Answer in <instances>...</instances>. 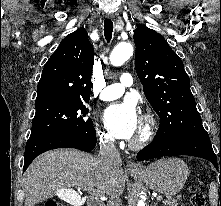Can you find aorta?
Listing matches in <instances>:
<instances>
[{
	"label": "aorta",
	"mask_w": 221,
	"mask_h": 206,
	"mask_svg": "<svg viewBox=\"0 0 221 206\" xmlns=\"http://www.w3.org/2000/svg\"><path fill=\"white\" fill-rule=\"evenodd\" d=\"M133 55V46L130 42L119 43L110 54V62L113 66H121ZM137 206H146L140 200Z\"/></svg>",
	"instance_id": "1"
}]
</instances>
